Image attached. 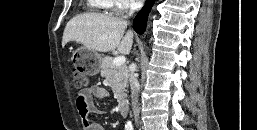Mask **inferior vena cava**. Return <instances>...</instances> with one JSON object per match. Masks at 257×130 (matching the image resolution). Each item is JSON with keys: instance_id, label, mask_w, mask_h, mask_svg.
Segmentation results:
<instances>
[{"instance_id": "602c4592", "label": "inferior vena cava", "mask_w": 257, "mask_h": 130, "mask_svg": "<svg viewBox=\"0 0 257 130\" xmlns=\"http://www.w3.org/2000/svg\"><path fill=\"white\" fill-rule=\"evenodd\" d=\"M141 4H142V1L133 0L131 3L129 16H132L135 10L140 8ZM129 76H130L129 81H130V88H131L132 109H133V114L135 118V123L138 124L139 113H140V110L138 107V92H139L140 86L136 75V64H132Z\"/></svg>"}]
</instances>
